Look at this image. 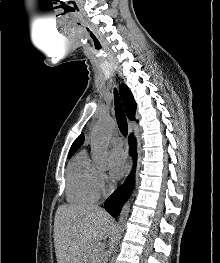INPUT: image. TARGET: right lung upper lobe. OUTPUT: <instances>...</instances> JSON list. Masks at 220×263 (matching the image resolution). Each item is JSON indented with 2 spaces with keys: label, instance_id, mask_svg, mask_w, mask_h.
<instances>
[{
  "label": "right lung upper lobe",
  "instance_id": "1",
  "mask_svg": "<svg viewBox=\"0 0 220 263\" xmlns=\"http://www.w3.org/2000/svg\"><path fill=\"white\" fill-rule=\"evenodd\" d=\"M119 90L126 114L129 119L134 120L136 112V102L134 101L133 95L129 88L124 84L120 86ZM83 142L84 136L81 134L72 144L69 156L73 155L78 150V148L81 147Z\"/></svg>",
  "mask_w": 220,
  "mask_h": 263
}]
</instances>
